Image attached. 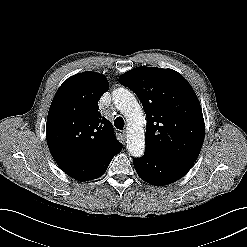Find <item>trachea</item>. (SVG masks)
Masks as SVG:
<instances>
[{"label":"trachea","mask_w":247,"mask_h":247,"mask_svg":"<svg viewBox=\"0 0 247 247\" xmlns=\"http://www.w3.org/2000/svg\"><path fill=\"white\" fill-rule=\"evenodd\" d=\"M124 120L122 117H117L115 120H114V126L119 129V130H122L124 128Z\"/></svg>","instance_id":"obj_1"}]
</instances>
